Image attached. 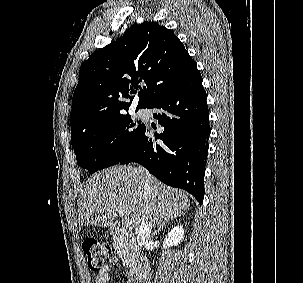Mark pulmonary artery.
Segmentation results:
<instances>
[{
  "mask_svg": "<svg viewBox=\"0 0 303 283\" xmlns=\"http://www.w3.org/2000/svg\"><path fill=\"white\" fill-rule=\"evenodd\" d=\"M137 115L140 116V117L143 116L144 115V110H138Z\"/></svg>",
  "mask_w": 303,
  "mask_h": 283,
  "instance_id": "1",
  "label": "pulmonary artery"
}]
</instances>
